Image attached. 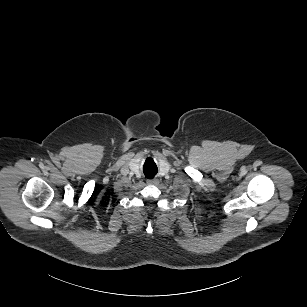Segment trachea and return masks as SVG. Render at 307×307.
I'll return each mask as SVG.
<instances>
[{"instance_id":"obj_1","label":"trachea","mask_w":307,"mask_h":307,"mask_svg":"<svg viewBox=\"0 0 307 307\" xmlns=\"http://www.w3.org/2000/svg\"><path fill=\"white\" fill-rule=\"evenodd\" d=\"M143 170L147 178H153L157 174V171H158L157 166L155 164L144 167Z\"/></svg>"}]
</instances>
